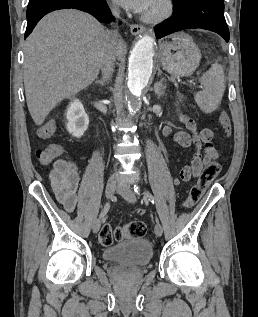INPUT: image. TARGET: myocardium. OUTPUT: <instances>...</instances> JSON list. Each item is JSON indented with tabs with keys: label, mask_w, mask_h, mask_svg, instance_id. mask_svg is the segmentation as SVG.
Listing matches in <instances>:
<instances>
[{
	"label": "myocardium",
	"mask_w": 258,
	"mask_h": 317,
	"mask_svg": "<svg viewBox=\"0 0 258 317\" xmlns=\"http://www.w3.org/2000/svg\"><path fill=\"white\" fill-rule=\"evenodd\" d=\"M173 11V6L169 1L156 0L142 14V19L147 23H160L167 19Z\"/></svg>",
	"instance_id": "f54148a6"
}]
</instances>
